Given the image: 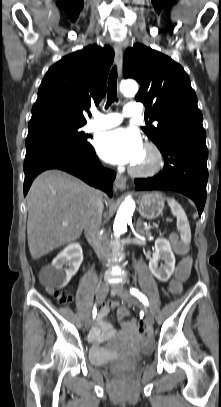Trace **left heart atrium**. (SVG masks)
I'll return each mask as SVG.
<instances>
[{
	"label": "left heart atrium",
	"instance_id": "left-heart-atrium-1",
	"mask_svg": "<svg viewBox=\"0 0 221 407\" xmlns=\"http://www.w3.org/2000/svg\"><path fill=\"white\" fill-rule=\"evenodd\" d=\"M96 147L106 161L131 165L138 160L144 149L139 133L126 128L102 133L97 139Z\"/></svg>",
	"mask_w": 221,
	"mask_h": 407
}]
</instances>
